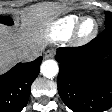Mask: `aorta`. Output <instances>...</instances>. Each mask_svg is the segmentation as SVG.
Returning <instances> with one entry per match:
<instances>
[{"instance_id":"762f6f07","label":"aorta","mask_w":112,"mask_h":112,"mask_svg":"<svg viewBox=\"0 0 112 112\" xmlns=\"http://www.w3.org/2000/svg\"><path fill=\"white\" fill-rule=\"evenodd\" d=\"M40 71L43 74V76L47 78H53L58 74L59 66L55 60L48 59L42 62Z\"/></svg>"}]
</instances>
